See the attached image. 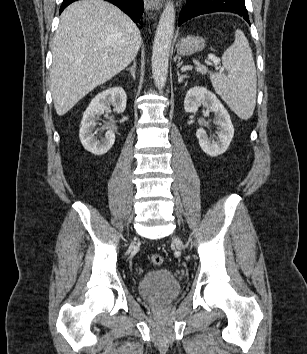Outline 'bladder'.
<instances>
[{"mask_svg":"<svg viewBox=\"0 0 307 354\" xmlns=\"http://www.w3.org/2000/svg\"><path fill=\"white\" fill-rule=\"evenodd\" d=\"M137 289L146 301L166 304L179 295L181 284L171 271L155 269L148 271L139 279Z\"/></svg>","mask_w":307,"mask_h":354,"instance_id":"obj_1","label":"bladder"}]
</instances>
